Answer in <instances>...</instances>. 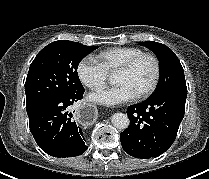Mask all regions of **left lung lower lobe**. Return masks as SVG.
<instances>
[{
  "mask_svg": "<svg viewBox=\"0 0 209 179\" xmlns=\"http://www.w3.org/2000/svg\"><path fill=\"white\" fill-rule=\"evenodd\" d=\"M186 97L187 88H179L129 106L130 125L120 134L124 151L141 159L163 154L176 138Z\"/></svg>",
  "mask_w": 209,
  "mask_h": 179,
  "instance_id": "obj_1",
  "label": "left lung lower lobe"
}]
</instances>
